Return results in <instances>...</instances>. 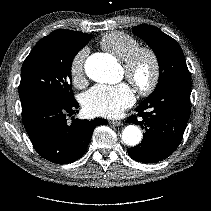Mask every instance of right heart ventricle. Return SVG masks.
Returning a JSON list of instances; mask_svg holds the SVG:
<instances>
[{
  "instance_id": "1",
  "label": "right heart ventricle",
  "mask_w": 211,
  "mask_h": 211,
  "mask_svg": "<svg viewBox=\"0 0 211 211\" xmlns=\"http://www.w3.org/2000/svg\"><path fill=\"white\" fill-rule=\"evenodd\" d=\"M100 45L108 53L123 62L139 47V41L127 33L113 31L105 34L101 38Z\"/></svg>"
}]
</instances>
